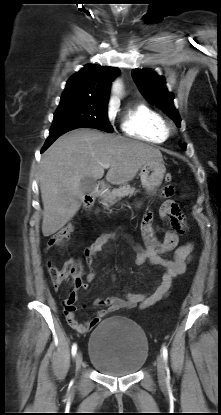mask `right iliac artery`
Returning <instances> with one entry per match:
<instances>
[{"instance_id": "82829eb1", "label": "right iliac artery", "mask_w": 221, "mask_h": 415, "mask_svg": "<svg viewBox=\"0 0 221 415\" xmlns=\"http://www.w3.org/2000/svg\"><path fill=\"white\" fill-rule=\"evenodd\" d=\"M76 351H77V345H76V344H74V345L72 346V350H71V352H72V355H73V356H75Z\"/></svg>"}]
</instances>
